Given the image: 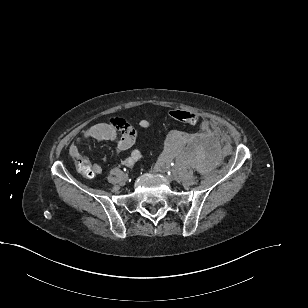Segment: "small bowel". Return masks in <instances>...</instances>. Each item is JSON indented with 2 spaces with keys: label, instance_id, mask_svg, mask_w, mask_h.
I'll use <instances>...</instances> for the list:
<instances>
[{
  "label": "small bowel",
  "instance_id": "obj_1",
  "mask_svg": "<svg viewBox=\"0 0 308 308\" xmlns=\"http://www.w3.org/2000/svg\"><path fill=\"white\" fill-rule=\"evenodd\" d=\"M139 125L145 130L150 127L149 121L145 119L141 120ZM88 139L114 142L117 150L122 152L130 149L134 145L136 141V132L124 119L119 117L111 118L108 122L97 123L85 129L70 146V155L75 157L81 154L80 146L83 141ZM141 156L142 153L140 149H133L127 157L122 159L121 163L124 166L130 167L134 165ZM92 169L93 173L96 175L102 172V168L98 164L93 165Z\"/></svg>",
  "mask_w": 308,
  "mask_h": 308
}]
</instances>
